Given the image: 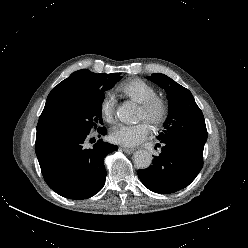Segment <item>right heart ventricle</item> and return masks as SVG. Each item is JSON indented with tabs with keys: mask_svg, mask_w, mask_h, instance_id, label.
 <instances>
[{
	"mask_svg": "<svg viewBox=\"0 0 248 248\" xmlns=\"http://www.w3.org/2000/svg\"><path fill=\"white\" fill-rule=\"evenodd\" d=\"M119 90L139 104L157 95L156 89L141 79L124 82Z\"/></svg>",
	"mask_w": 248,
	"mask_h": 248,
	"instance_id": "obj_1",
	"label": "right heart ventricle"
}]
</instances>
